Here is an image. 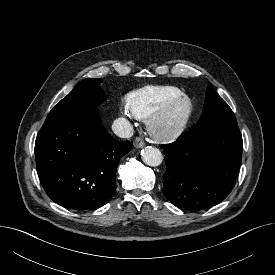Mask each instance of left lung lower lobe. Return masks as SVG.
Listing matches in <instances>:
<instances>
[{
  "instance_id": "0a47b994",
  "label": "left lung lower lobe",
  "mask_w": 275,
  "mask_h": 275,
  "mask_svg": "<svg viewBox=\"0 0 275 275\" xmlns=\"http://www.w3.org/2000/svg\"><path fill=\"white\" fill-rule=\"evenodd\" d=\"M164 149L163 192L174 205L203 209L222 202L235 186L243 150L239 132L196 126Z\"/></svg>"
}]
</instances>
